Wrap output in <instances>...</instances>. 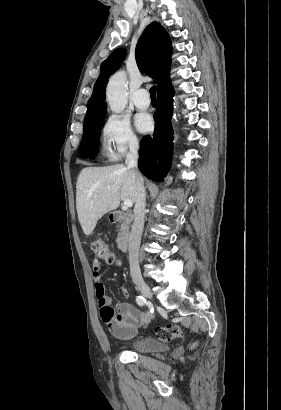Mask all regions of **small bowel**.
Here are the masks:
<instances>
[{
	"label": "small bowel",
	"mask_w": 281,
	"mask_h": 410,
	"mask_svg": "<svg viewBox=\"0 0 281 410\" xmlns=\"http://www.w3.org/2000/svg\"><path fill=\"white\" fill-rule=\"evenodd\" d=\"M101 261L94 258L92 261V275L94 279V288L97 297V304L100 308L101 317L105 319V310L112 311L114 314V326L111 328L112 335L121 340L133 338L140 327L146 326L153 315L150 312H142L135 306L129 303H120L116 306L118 314L111 306V299L107 295L105 286L101 280ZM123 296L129 297L130 291L127 288H122Z\"/></svg>",
	"instance_id": "c3829d8e"
}]
</instances>
